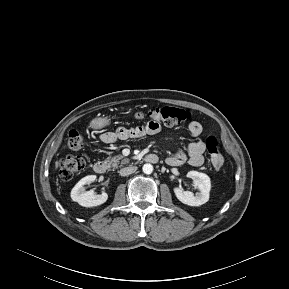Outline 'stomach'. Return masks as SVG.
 I'll return each instance as SVG.
<instances>
[{
    "label": "stomach",
    "mask_w": 289,
    "mask_h": 289,
    "mask_svg": "<svg viewBox=\"0 0 289 289\" xmlns=\"http://www.w3.org/2000/svg\"><path fill=\"white\" fill-rule=\"evenodd\" d=\"M111 123V119L108 117H96L90 122V127L92 129H103L107 126H109Z\"/></svg>",
    "instance_id": "1"
}]
</instances>
